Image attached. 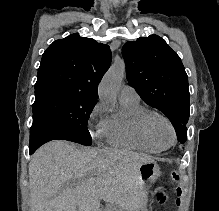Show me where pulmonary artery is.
Returning a JSON list of instances; mask_svg holds the SVG:
<instances>
[{"instance_id": "obj_1", "label": "pulmonary artery", "mask_w": 219, "mask_h": 211, "mask_svg": "<svg viewBox=\"0 0 219 211\" xmlns=\"http://www.w3.org/2000/svg\"><path fill=\"white\" fill-rule=\"evenodd\" d=\"M120 100H140V96L135 88L125 85L121 89Z\"/></svg>"}]
</instances>
